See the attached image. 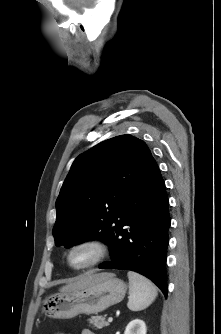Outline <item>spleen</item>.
I'll use <instances>...</instances> for the list:
<instances>
[{
  "mask_svg": "<svg viewBox=\"0 0 221 334\" xmlns=\"http://www.w3.org/2000/svg\"><path fill=\"white\" fill-rule=\"evenodd\" d=\"M129 300L127 303L131 311H141L147 308L157 297L156 287L146 277L129 271Z\"/></svg>",
  "mask_w": 221,
  "mask_h": 334,
  "instance_id": "1",
  "label": "spleen"
}]
</instances>
